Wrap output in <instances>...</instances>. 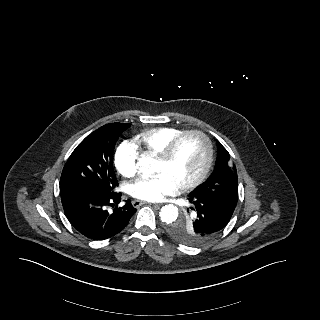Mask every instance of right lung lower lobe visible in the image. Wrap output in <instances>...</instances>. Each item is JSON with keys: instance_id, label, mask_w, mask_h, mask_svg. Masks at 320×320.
Here are the masks:
<instances>
[{"instance_id": "obj_1", "label": "right lung lower lobe", "mask_w": 320, "mask_h": 320, "mask_svg": "<svg viewBox=\"0 0 320 320\" xmlns=\"http://www.w3.org/2000/svg\"><path fill=\"white\" fill-rule=\"evenodd\" d=\"M61 201L66 217L72 226L83 236L92 240H105L121 232L136 212L128 199L123 207H116L112 212L107 206L120 203L121 193L109 194H61Z\"/></svg>"}]
</instances>
